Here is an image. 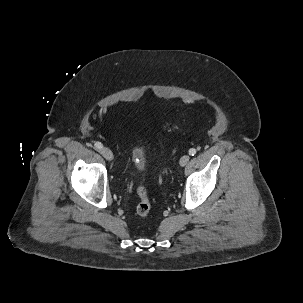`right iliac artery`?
I'll return each instance as SVG.
<instances>
[{"mask_svg": "<svg viewBox=\"0 0 303 303\" xmlns=\"http://www.w3.org/2000/svg\"><path fill=\"white\" fill-rule=\"evenodd\" d=\"M94 146H95L96 149H99V150L103 148V145L100 142H96L94 144Z\"/></svg>", "mask_w": 303, "mask_h": 303, "instance_id": "1", "label": "right iliac artery"}]
</instances>
